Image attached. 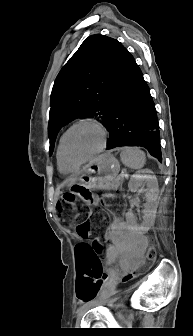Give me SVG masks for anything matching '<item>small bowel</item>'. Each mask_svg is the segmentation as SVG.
<instances>
[{"instance_id": "c3829d8e", "label": "small bowel", "mask_w": 193, "mask_h": 336, "mask_svg": "<svg viewBox=\"0 0 193 336\" xmlns=\"http://www.w3.org/2000/svg\"><path fill=\"white\" fill-rule=\"evenodd\" d=\"M110 239L105 254L106 263L108 265L119 261L123 269L132 271L136 269L142 261V251L146 246L145 238L135 232L132 227L125 221L116 219L107 233ZM109 275V284H114L118 280L117 271L113 268L107 269ZM78 289L84 288L89 294L92 292L93 284L87 272H80Z\"/></svg>"}]
</instances>
